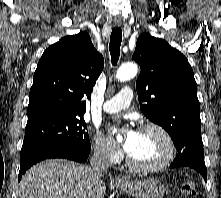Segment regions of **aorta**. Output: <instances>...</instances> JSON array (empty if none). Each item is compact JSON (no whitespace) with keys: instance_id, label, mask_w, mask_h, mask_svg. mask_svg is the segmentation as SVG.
Masks as SVG:
<instances>
[{"instance_id":"1","label":"aorta","mask_w":221,"mask_h":198,"mask_svg":"<svg viewBox=\"0 0 221 198\" xmlns=\"http://www.w3.org/2000/svg\"><path fill=\"white\" fill-rule=\"evenodd\" d=\"M138 72V66L134 63H127L122 65L116 73V79L120 81H128L135 77Z\"/></svg>"}]
</instances>
